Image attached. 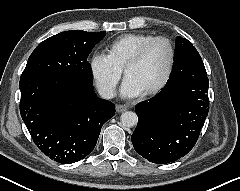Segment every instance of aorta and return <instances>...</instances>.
<instances>
[{"label": "aorta", "mask_w": 240, "mask_h": 191, "mask_svg": "<svg viewBox=\"0 0 240 191\" xmlns=\"http://www.w3.org/2000/svg\"><path fill=\"white\" fill-rule=\"evenodd\" d=\"M120 121L124 127H133L137 124L138 117L135 112L126 111L121 114Z\"/></svg>", "instance_id": "1"}]
</instances>
